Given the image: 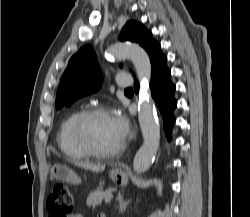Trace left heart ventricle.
I'll list each match as a JSON object with an SVG mask.
<instances>
[{"label":"left heart ventricle","mask_w":250,"mask_h":217,"mask_svg":"<svg viewBox=\"0 0 250 217\" xmlns=\"http://www.w3.org/2000/svg\"><path fill=\"white\" fill-rule=\"evenodd\" d=\"M87 131L91 142L101 150H112L122 143L110 114L94 117Z\"/></svg>","instance_id":"left-heart-ventricle-1"}]
</instances>
